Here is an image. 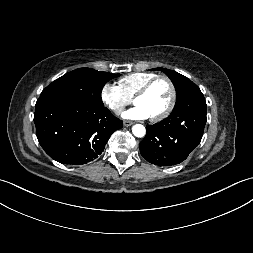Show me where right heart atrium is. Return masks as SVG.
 Returning <instances> with one entry per match:
<instances>
[{"label": "right heart atrium", "mask_w": 253, "mask_h": 253, "mask_svg": "<svg viewBox=\"0 0 253 253\" xmlns=\"http://www.w3.org/2000/svg\"><path fill=\"white\" fill-rule=\"evenodd\" d=\"M100 97L103 103L115 114L121 113L132 102V98L118 84L110 82L102 86Z\"/></svg>", "instance_id": "1"}]
</instances>
